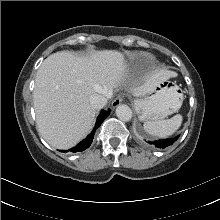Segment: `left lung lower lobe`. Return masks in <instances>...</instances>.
<instances>
[{"instance_id": "obj_1", "label": "left lung lower lobe", "mask_w": 220, "mask_h": 220, "mask_svg": "<svg viewBox=\"0 0 220 220\" xmlns=\"http://www.w3.org/2000/svg\"><path fill=\"white\" fill-rule=\"evenodd\" d=\"M177 139L178 136L175 138L163 139L159 141H148L147 143L157 148H165L172 145Z\"/></svg>"}]
</instances>
